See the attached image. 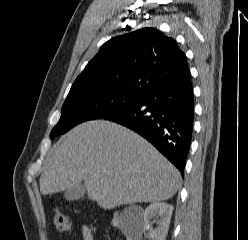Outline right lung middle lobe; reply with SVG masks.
I'll list each match as a JSON object with an SVG mask.
<instances>
[{
	"instance_id": "obj_1",
	"label": "right lung middle lobe",
	"mask_w": 248,
	"mask_h": 240,
	"mask_svg": "<svg viewBox=\"0 0 248 240\" xmlns=\"http://www.w3.org/2000/svg\"><path fill=\"white\" fill-rule=\"evenodd\" d=\"M143 96L112 88L71 90L62 106L61 117L51 131V138L74 126L94 119H104L137 103Z\"/></svg>"
}]
</instances>
